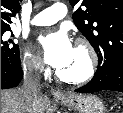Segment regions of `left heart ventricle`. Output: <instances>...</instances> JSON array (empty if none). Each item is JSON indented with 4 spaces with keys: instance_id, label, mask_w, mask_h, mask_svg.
Returning a JSON list of instances; mask_svg holds the SVG:
<instances>
[{
    "instance_id": "left-heart-ventricle-1",
    "label": "left heart ventricle",
    "mask_w": 123,
    "mask_h": 113,
    "mask_svg": "<svg viewBox=\"0 0 123 113\" xmlns=\"http://www.w3.org/2000/svg\"><path fill=\"white\" fill-rule=\"evenodd\" d=\"M86 69V56L78 49H74L71 60L62 68L60 72L67 76H76L83 73Z\"/></svg>"
}]
</instances>
